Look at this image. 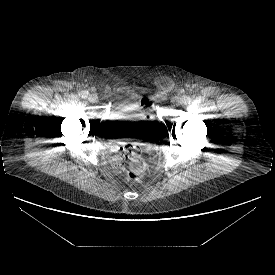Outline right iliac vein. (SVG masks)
Here are the masks:
<instances>
[{
	"label": "right iliac vein",
	"instance_id": "1",
	"mask_svg": "<svg viewBox=\"0 0 275 275\" xmlns=\"http://www.w3.org/2000/svg\"><path fill=\"white\" fill-rule=\"evenodd\" d=\"M88 100L92 103H95V102H97L98 97L95 94H91V95H89Z\"/></svg>",
	"mask_w": 275,
	"mask_h": 275
}]
</instances>
